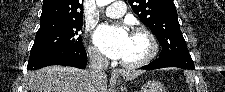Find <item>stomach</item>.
Instances as JSON below:
<instances>
[{"label":"stomach","mask_w":225,"mask_h":92,"mask_svg":"<svg viewBox=\"0 0 225 92\" xmlns=\"http://www.w3.org/2000/svg\"><path fill=\"white\" fill-rule=\"evenodd\" d=\"M140 92H165V88L158 81H148L141 87Z\"/></svg>","instance_id":"0dacf381"}]
</instances>
